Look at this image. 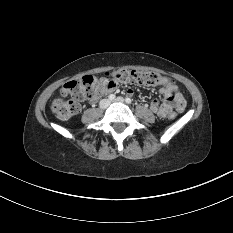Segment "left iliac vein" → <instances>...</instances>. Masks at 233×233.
Masks as SVG:
<instances>
[{"instance_id":"obj_1","label":"left iliac vein","mask_w":233,"mask_h":233,"mask_svg":"<svg viewBox=\"0 0 233 233\" xmlns=\"http://www.w3.org/2000/svg\"><path fill=\"white\" fill-rule=\"evenodd\" d=\"M114 101L115 102H120V103H125V100L122 97H117Z\"/></svg>"}]
</instances>
